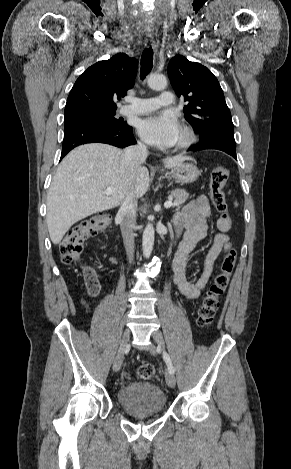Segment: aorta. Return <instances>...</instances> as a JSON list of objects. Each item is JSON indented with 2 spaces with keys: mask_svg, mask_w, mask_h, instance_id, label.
<instances>
[{
  "mask_svg": "<svg viewBox=\"0 0 291 469\" xmlns=\"http://www.w3.org/2000/svg\"><path fill=\"white\" fill-rule=\"evenodd\" d=\"M148 86L154 90H163L167 86V79L163 75H150L148 78ZM155 232L151 223H148L143 232L142 249L145 258H148L153 250Z\"/></svg>",
  "mask_w": 291,
  "mask_h": 469,
  "instance_id": "1",
  "label": "aorta"
}]
</instances>
